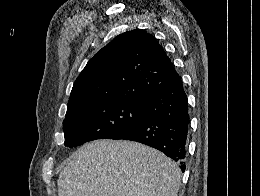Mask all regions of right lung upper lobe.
Returning a JSON list of instances; mask_svg holds the SVG:
<instances>
[{
	"mask_svg": "<svg viewBox=\"0 0 260 196\" xmlns=\"http://www.w3.org/2000/svg\"><path fill=\"white\" fill-rule=\"evenodd\" d=\"M180 78L155 37L135 29L118 35L90 59L74 82L68 106L107 96L139 102Z\"/></svg>",
	"mask_w": 260,
	"mask_h": 196,
	"instance_id": "cb5924a9",
	"label": "right lung upper lobe"
}]
</instances>
